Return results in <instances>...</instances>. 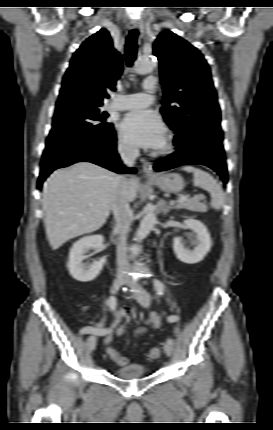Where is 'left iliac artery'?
Masks as SVG:
<instances>
[{
	"label": "left iliac artery",
	"instance_id": "1",
	"mask_svg": "<svg viewBox=\"0 0 273 430\" xmlns=\"http://www.w3.org/2000/svg\"><path fill=\"white\" fill-rule=\"evenodd\" d=\"M153 283H154V288H155L156 293L159 296L163 295L164 291H165L164 284L160 280H158V279H154ZM167 320L170 321V322H174V321L177 320V317L172 315V316H169L167 318Z\"/></svg>",
	"mask_w": 273,
	"mask_h": 430
}]
</instances>
